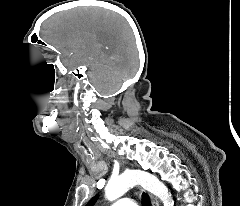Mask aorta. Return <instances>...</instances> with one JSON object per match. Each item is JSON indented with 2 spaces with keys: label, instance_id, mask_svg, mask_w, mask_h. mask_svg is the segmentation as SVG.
<instances>
[{
  "label": "aorta",
  "instance_id": "obj_1",
  "mask_svg": "<svg viewBox=\"0 0 240 206\" xmlns=\"http://www.w3.org/2000/svg\"><path fill=\"white\" fill-rule=\"evenodd\" d=\"M135 185H141L153 193L163 202L164 206L174 205L171 194L164 183L155 175L140 170L128 171L117 178L110 179L105 187V196L108 200L114 201Z\"/></svg>",
  "mask_w": 240,
  "mask_h": 206
}]
</instances>
